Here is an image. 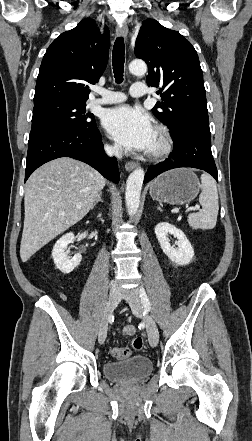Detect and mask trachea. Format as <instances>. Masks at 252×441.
Wrapping results in <instances>:
<instances>
[{
    "mask_svg": "<svg viewBox=\"0 0 252 441\" xmlns=\"http://www.w3.org/2000/svg\"><path fill=\"white\" fill-rule=\"evenodd\" d=\"M125 45L123 37H118L113 46L112 66L116 83L123 81Z\"/></svg>",
    "mask_w": 252,
    "mask_h": 441,
    "instance_id": "3493384b",
    "label": "trachea"
}]
</instances>
